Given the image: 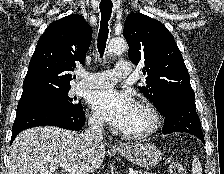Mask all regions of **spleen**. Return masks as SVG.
Wrapping results in <instances>:
<instances>
[{
	"mask_svg": "<svg viewBox=\"0 0 224 174\" xmlns=\"http://www.w3.org/2000/svg\"><path fill=\"white\" fill-rule=\"evenodd\" d=\"M192 173L193 174H202V166L199 161V159L194 156L193 162H192Z\"/></svg>",
	"mask_w": 224,
	"mask_h": 174,
	"instance_id": "obj_1",
	"label": "spleen"
}]
</instances>
